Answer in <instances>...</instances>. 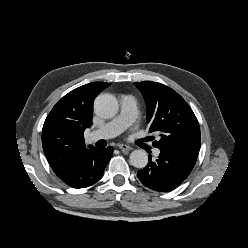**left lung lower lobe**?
<instances>
[{
	"label": "left lung lower lobe",
	"mask_w": 248,
	"mask_h": 248,
	"mask_svg": "<svg viewBox=\"0 0 248 248\" xmlns=\"http://www.w3.org/2000/svg\"><path fill=\"white\" fill-rule=\"evenodd\" d=\"M197 158L167 149H160L159 157L138 171L139 180L148 188L169 192L178 187L192 171Z\"/></svg>",
	"instance_id": "0a47b994"
}]
</instances>
